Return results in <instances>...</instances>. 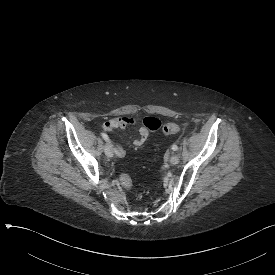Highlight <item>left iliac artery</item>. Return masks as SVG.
Instances as JSON below:
<instances>
[{
	"mask_svg": "<svg viewBox=\"0 0 275 275\" xmlns=\"http://www.w3.org/2000/svg\"><path fill=\"white\" fill-rule=\"evenodd\" d=\"M178 149V147L176 145L172 146V150L176 151Z\"/></svg>",
	"mask_w": 275,
	"mask_h": 275,
	"instance_id": "1",
	"label": "left iliac artery"
}]
</instances>
